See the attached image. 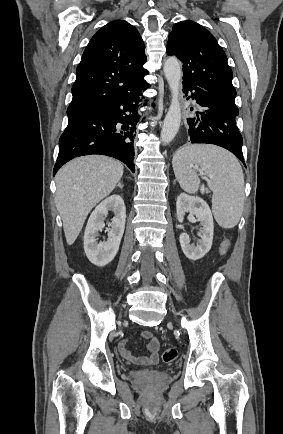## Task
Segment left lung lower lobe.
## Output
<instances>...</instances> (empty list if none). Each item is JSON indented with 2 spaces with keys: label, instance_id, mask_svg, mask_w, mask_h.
Listing matches in <instances>:
<instances>
[{
  "label": "left lung lower lobe",
  "instance_id": "1",
  "mask_svg": "<svg viewBox=\"0 0 283 434\" xmlns=\"http://www.w3.org/2000/svg\"><path fill=\"white\" fill-rule=\"evenodd\" d=\"M183 92L191 93L187 99L192 98L199 105L198 111L187 118L191 143L221 146L231 151L245 165L242 153L243 139L235 122L238 115L235 103L185 81Z\"/></svg>",
  "mask_w": 283,
  "mask_h": 434
}]
</instances>
